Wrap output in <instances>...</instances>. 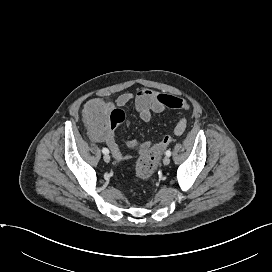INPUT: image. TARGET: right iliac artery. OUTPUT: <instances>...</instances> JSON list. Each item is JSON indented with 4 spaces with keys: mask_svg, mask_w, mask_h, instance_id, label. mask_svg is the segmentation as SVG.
Masks as SVG:
<instances>
[{
    "mask_svg": "<svg viewBox=\"0 0 272 272\" xmlns=\"http://www.w3.org/2000/svg\"><path fill=\"white\" fill-rule=\"evenodd\" d=\"M102 152H103L104 154H109V150H108L107 148H103V149H102Z\"/></svg>",
    "mask_w": 272,
    "mask_h": 272,
    "instance_id": "1",
    "label": "right iliac artery"
}]
</instances>
